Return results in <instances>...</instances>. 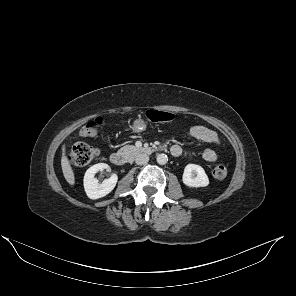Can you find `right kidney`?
Wrapping results in <instances>:
<instances>
[{"label":"right kidney","instance_id":"right-kidney-1","mask_svg":"<svg viewBox=\"0 0 296 296\" xmlns=\"http://www.w3.org/2000/svg\"><path fill=\"white\" fill-rule=\"evenodd\" d=\"M109 166L105 163H98L90 167L84 175V189L87 196L90 199H99L108 195L116 186L118 177L116 174H112L110 178L105 179L102 183H99L95 178V174L104 169H108Z\"/></svg>","mask_w":296,"mask_h":296}]
</instances>
